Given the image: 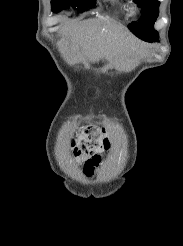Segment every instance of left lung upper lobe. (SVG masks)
I'll use <instances>...</instances> for the list:
<instances>
[{"label": "left lung upper lobe", "instance_id": "5c2ea615", "mask_svg": "<svg viewBox=\"0 0 183 246\" xmlns=\"http://www.w3.org/2000/svg\"><path fill=\"white\" fill-rule=\"evenodd\" d=\"M141 7L142 16L138 23L133 22L128 26L130 31L138 38L153 42L158 39V33L153 25L158 16L159 2L157 0H134Z\"/></svg>", "mask_w": 183, "mask_h": 246}]
</instances>
